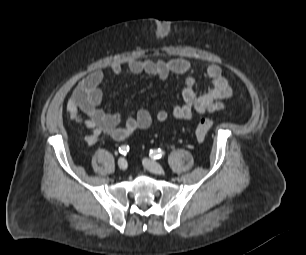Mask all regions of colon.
Instances as JSON below:
<instances>
[{
	"label": "colon",
	"mask_w": 306,
	"mask_h": 255,
	"mask_svg": "<svg viewBox=\"0 0 306 255\" xmlns=\"http://www.w3.org/2000/svg\"><path fill=\"white\" fill-rule=\"evenodd\" d=\"M213 127V122L210 119L202 118L200 119L195 127V135L197 139L202 140L204 139L209 131Z\"/></svg>",
	"instance_id": "5ec220e1"
}]
</instances>
